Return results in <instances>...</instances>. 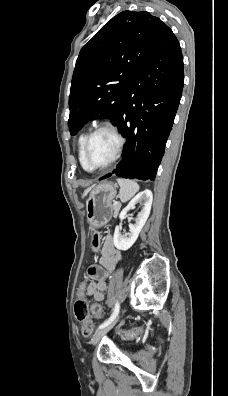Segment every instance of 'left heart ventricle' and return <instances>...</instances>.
I'll return each mask as SVG.
<instances>
[{"mask_svg":"<svg viewBox=\"0 0 228 396\" xmlns=\"http://www.w3.org/2000/svg\"><path fill=\"white\" fill-rule=\"evenodd\" d=\"M117 140L114 135L106 130L96 133L91 139L88 156L91 164L104 165L109 162L116 150Z\"/></svg>","mask_w":228,"mask_h":396,"instance_id":"b2bd125f","label":"left heart ventricle"}]
</instances>
